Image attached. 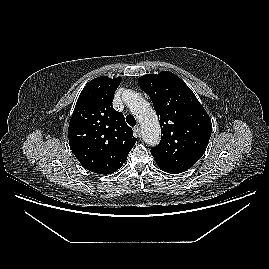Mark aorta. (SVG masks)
Wrapping results in <instances>:
<instances>
[{"label":"aorta","instance_id":"aorta-1","mask_svg":"<svg viewBox=\"0 0 269 269\" xmlns=\"http://www.w3.org/2000/svg\"><path fill=\"white\" fill-rule=\"evenodd\" d=\"M124 99L130 111L141 124L142 138L146 144L155 146L160 140V124L154 109L136 92L126 91Z\"/></svg>","mask_w":269,"mask_h":269}]
</instances>
